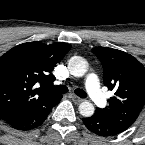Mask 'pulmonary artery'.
Returning a JSON list of instances; mask_svg holds the SVG:
<instances>
[{
	"label": "pulmonary artery",
	"instance_id": "pulmonary-artery-1",
	"mask_svg": "<svg viewBox=\"0 0 145 145\" xmlns=\"http://www.w3.org/2000/svg\"><path fill=\"white\" fill-rule=\"evenodd\" d=\"M86 89L92 101L100 107L107 103V96L100 89L98 77L95 74L88 75L86 79Z\"/></svg>",
	"mask_w": 145,
	"mask_h": 145
}]
</instances>
